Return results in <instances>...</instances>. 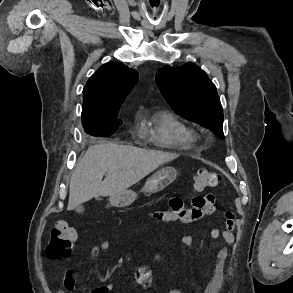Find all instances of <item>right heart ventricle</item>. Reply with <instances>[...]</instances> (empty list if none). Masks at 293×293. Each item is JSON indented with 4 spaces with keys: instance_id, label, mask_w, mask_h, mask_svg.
I'll return each instance as SVG.
<instances>
[{
    "instance_id": "obj_1",
    "label": "right heart ventricle",
    "mask_w": 293,
    "mask_h": 293,
    "mask_svg": "<svg viewBox=\"0 0 293 293\" xmlns=\"http://www.w3.org/2000/svg\"><path fill=\"white\" fill-rule=\"evenodd\" d=\"M144 131L156 145L163 148L188 149L196 141L195 130L168 111L156 113Z\"/></svg>"
}]
</instances>
